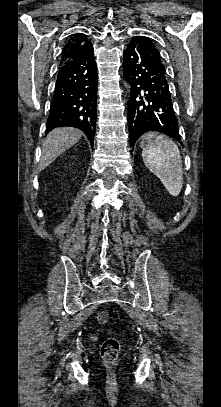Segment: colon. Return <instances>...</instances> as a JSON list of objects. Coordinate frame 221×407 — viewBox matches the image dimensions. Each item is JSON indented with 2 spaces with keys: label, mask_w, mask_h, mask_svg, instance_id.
<instances>
[{
  "label": "colon",
  "mask_w": 221,
  "mask_h": 407,
  "mask_svg": "<svg viewBox=\"0 0 221 407\" xmlns=\"http://www.w3.org/2000/svg\"><path fill=\"white\" fill-rule=\"evenodd\" d=\"M98 322L102 325H105L109 321V314L106 311H101L97 315ZM120 351V341L116 337H109L105 339L100 348V353L103 361L109 367H112L118 356Z\"/></svg>",
  "instance_id": "1"
}]
</instances>
